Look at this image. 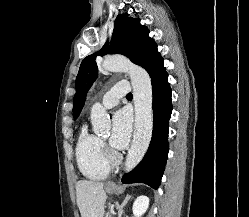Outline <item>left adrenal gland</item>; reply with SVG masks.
<instances>
[{
	"mask_svg": "<svg viewBox=\"0 0 249 217\" xmlns=\"http://www.w3.org/2000/svg\"><path fill=\"white\" fill-rule=\"evenodd\" d=\"M132 196L126 195L123 203L121 205L117 204L116 207L118 209V217H122V214L124 213L123 207L127 204V202L130 200Z\"/></svg>",
	"mask_w": 249,
	"mask_h": 217,
	"instance_id": "1",
	"label": "left adrenal gland"
}]
</instances>
